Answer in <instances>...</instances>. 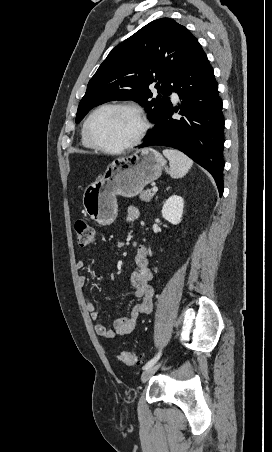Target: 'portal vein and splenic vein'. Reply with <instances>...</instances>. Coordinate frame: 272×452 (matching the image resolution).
Instances as JSON below:
<instances>
[{"instance_id":"18ae733b","label":"portal vein and splenic vein","mask_w":272,"mask_h":452,"mask_svg":"<svg viewBox=\"0 0 272 452\" xmlns=\"http://www.w3.org/2000/svg\"><path fill=\"white\" fill-rule=\"evenodd\" d=\"M152 191L155 193V192L158 191V188H157L156 186H154V187L152 188Z\"/></svg>"}]
</instances>
